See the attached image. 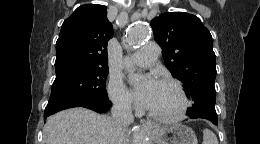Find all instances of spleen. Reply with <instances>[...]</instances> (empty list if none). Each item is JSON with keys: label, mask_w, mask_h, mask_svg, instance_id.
Masks as SVG:
<instances>
[{"label": "spleen", "mask_w": 260, "mask_h": 144, "mask_svg": "<svg viewBox=\"0 0 260 144\" xmlns=\"http://www.w3.org/2000/svg\"><path fill=\"white\" fill-rule=\"evenodd\" d=\"M203 144H218L216 135L210 129L203 130Z\"/></svg>", "instance_id": "obj_1"}]
</instances>
